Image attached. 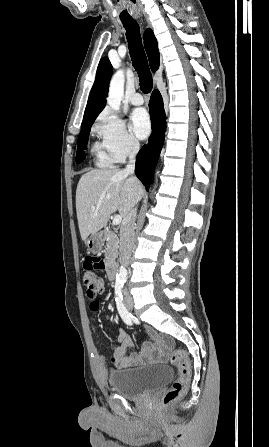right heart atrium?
Listing matches in <instances>:
<instances>
[{"mask_svg": "<svg viewBox=\"0 0 269 447\" xmlns=\"http://www.w3.org/2000/svg\"><path fill=\"white\" fill-rule=\"evenodd\" d=\"M94 129L102 139L105 149L113 155L116 161L133 155L139 147L135 136L127 130L121 118L110 109H106L100 114Z\"/></svg>", "mask_w": 269, "mask_h": 447, "instance_id": "obj_1", "label": "right heart atrium"}]
</instances>
